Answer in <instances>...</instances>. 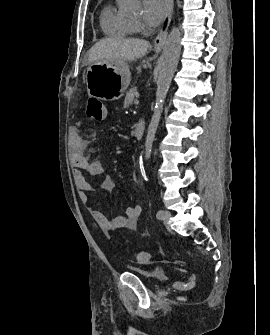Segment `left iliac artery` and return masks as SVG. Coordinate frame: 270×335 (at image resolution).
Instances as JSON below:
<instances>
[{"instance_id":"left-iliac-artery-1","label":"left iliac artery","mask_w":270,"mask_h":335,"mask_svg":"<svg viewBox=\"0 0 270 335\" xmlns=\"http://www.w3.org/2000/svg\"><path fill=\"white\" fill-rule=\"evenodd\" d=\"M162 214H163V211L159 210L156 214L157 218H161Z\"/></svg>"}]
</instances>
